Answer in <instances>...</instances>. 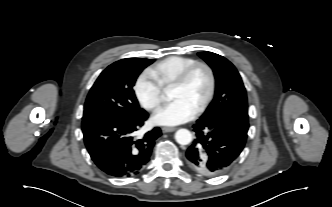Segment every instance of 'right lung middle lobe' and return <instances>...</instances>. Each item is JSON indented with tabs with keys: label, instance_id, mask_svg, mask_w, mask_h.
Segmentation results:
<instances>
[{
	"label": "right lung middle lobe",
	"instance_id": "obj_1",
	"mask_svg": "<svg viewBox=\"0 0 332 207\" xmlns=\"http://www.w3.org/2000/svg\"><path fill=\"white\" fill-rule=\"evenodd\" d=\"M153 62V59L126 58L108 66L90 89L82 120L102 116L129 118L143 112L133 86L141 71Z\"/></svg>",
	"mask_w": 332,
	"mask_h": 207
}]
</instances>
